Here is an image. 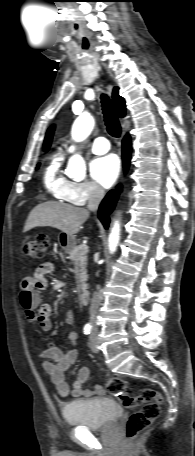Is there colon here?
<instances>
[{
    "label": "colon",
    "instance_id": "5ec220e1",
    "mask_svg": "<svg viewBox=\"0 0 195 456\" xmlns=\"http://www.w3.org/2000/svg\"><path fill=\"white\" fill-rule=\"evenodd\" d=\"M49 245L50 241L47 236L36 235L24 242L22 251L32 258L42 259L46 256ZM106 385L108 391L124 407L129 409L141 407L139 411L129 417L126 425L127 439L134 440L158 417L162 403L161 394L151 388H145L138 394H132L129 391L127 380L119 376H108Z\"/></svg>",
    "mask_w": 195,
    "mask_h": 456
}]
</instances>
